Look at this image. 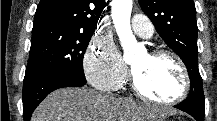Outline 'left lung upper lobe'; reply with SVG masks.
Instances as JSON below:
<instances>
[{
    "instance_id": "1",
    "label": "left lung upper lobe",
    "mask_w": 217,
    "mask_h": 121,
    "mask_svg": "<svg viewBox=\"0 0 217 121\" xmlns=\"http://www.w3.org/2000/svg\"><path fill=\"white\" fill-rule=\"evenodd\" d=\"M165 43L185 63L190 77V93L205 113L202 78L197 64L196 9L193 0H138Z\"/></svg>"
}]
</instances>
